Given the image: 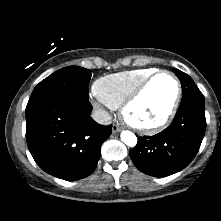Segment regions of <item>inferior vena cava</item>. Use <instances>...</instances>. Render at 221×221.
Wrapping results in <instances>:
<instances>
[{
	"label": "inferior vena cava",
	"mask_w": 221,
	"mask_h": 221,
	"mask_svg": "<svg viewBox=\"0 0 221 221\" xmlns=\"http://www.w3.org/2000/svg\"><path fill=\"white\" fill-rule=\"evenodd\" d=\"M91 117L99 124H102V125H110L111 124V116L106 111L95 110V111H93Z\"/></svg>",
	"instance_id": "602c4592"
}]
</instances>
